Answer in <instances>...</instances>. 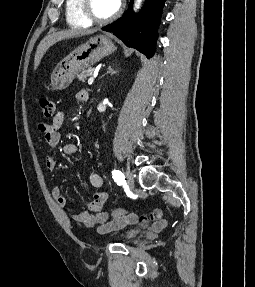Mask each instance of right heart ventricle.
<instances>
[{
    "mask_svg": "<svg viewBox=\"0 0 255 287\" xmlns=\"http://www.w3.org/2000/svg\"><path fill=\"white\" fill-rule=\"evenodd\" d=\"M85 39H91V38H85ZM89 48H91V47H89Z\"/></svg>",
    "mask_w": 255,
    "mask_h": 287,
    "instance_id": "obj_1",
    "label": "right heart ventricle"
}]
</instances>
